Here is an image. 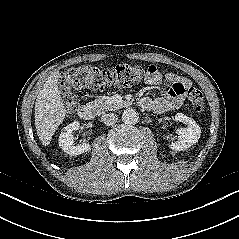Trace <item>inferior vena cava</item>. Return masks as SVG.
I'll use <instances>...</instances> for the list:
<instances>
[{
	"instance_id": "inferior-vena-cava-1",
	"label": "inferior vena cava",
	"mask_w": 239,
	"mask_h": 239,
	"mask_svg": "<svg viewBox=\"0 0 239 239\" xmlns=\"http://www.w3.org/2000/svg\"><path fill=\"white\" fill-rule=\"evenodd\" d=\"M118 120V116L114 113H104L101 116V121L107 126L114 125Z\"/></svg>"
}]
</instances>
